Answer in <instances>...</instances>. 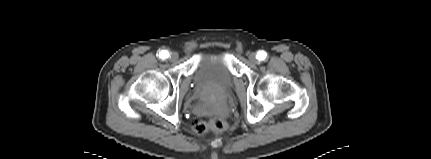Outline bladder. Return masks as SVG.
<instances>
[{
    "label": "bladder",
    "instance_id": "bladder-1",
    "mask_svg": "<svg viewBox=\"0 0 431 159\" xmlns=\"http://www.w3.org/2000/svg\"><path fill=\"white\" fill-rule=\"evenodd\" d=\"M230 51L206 53L200 57L193 71V83L200 94L224 97L234 86L229 59Z\"/></svg>",
    "mask_w": 431,
    "mask_h": 159
}]
</instances>
